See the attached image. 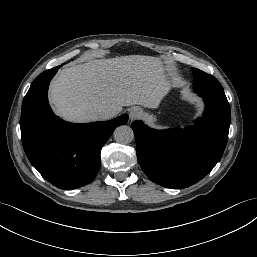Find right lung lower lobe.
Segmentation results:
<instances>
[{"mask_svg": "<svg viewBox=\"0 0 257 257\" xmlns=\"http://www.w3.org/2000/svg\"><path fill=\"white\" fill-rule=\"evenodd\" d=\"M60 66L41 73L31 84L21 108V138L31 164L54 186L75 189L93 181L100 152L114 129L125 125L128 115L87 124L64 122L48 103L50 80Z\"/></svg>", "mask_w": 257, "mask_h": 257, "instance_id": "1", "label": "right lung lower lobe"}]
</instances>
